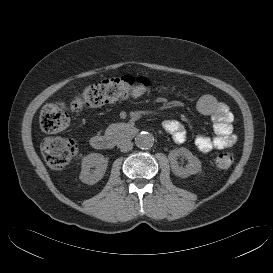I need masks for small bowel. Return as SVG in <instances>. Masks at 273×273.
<instances>
[{
    "label": "small bowel",
    "mask_w": 273,
    "mask_h": 273,
    "mask_svg": "<svg viewBox=\"0 0 273 273\" xmlns=\"http://www.w3.org/2000/svg\"><path fill=\"white\" fill-rule=\"evenodd\" d=\"M146 89L134 92V97H140L146 93ZM197 110L200 114L209 116L213 121L214 136L210 137L199 133L195 138V145L202 153L211 152L214 149H224L233 146L237 137L232 133L233 115L226 104L218 101L214 96L206 94L197 101ZM164 130L169 133L175 143L181 144L186 140V128L178 120H166L163 123Z\"/></svg>",
    "instance_id": "small-bowel-1"
}]
</instances>
